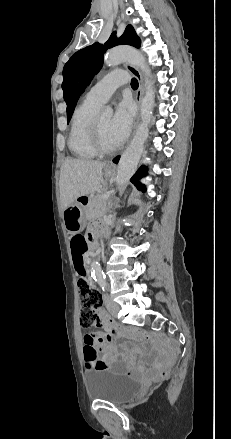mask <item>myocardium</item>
Here are the masks:
<instances>
[{
  "label": "myocardium",
  "instance_id": "f54148a6",
  "mask_svg": "<svg viewBox=\"0 0 231 439\" xmlns=\"http://www.w3.org/2000/svg\"><path fill=\"white\" fill-rule=\"evenodd\" d=\"M90 137H91V142H92V145H93L95 151L99 154L113 153L119 147L118 145L109 147L103 143L102 138H101L100 127H99L97 116H94V118L92 120Z\"/></svg>",
  "mask_w": 231,
  "mask_h": 439
}]
</instances>
